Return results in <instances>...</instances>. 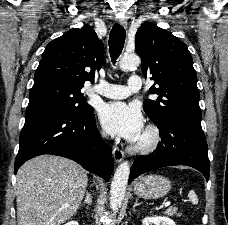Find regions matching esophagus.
<instances>
[{
    "label": "esophagus",
    "mask_w": 228,
    "mask_h": 225,
    "mask_svg": "<svg viewBox=\"0 0 228 225\" xmlns=\"http://www.w3.org/2000/svg\"><path fill=\"white\" fill-rule=\"evenodd\" d=\"M115 20L119 25H122L125 28L127 27L126 19L121 18V17H116ZM112 153H113V158H114L115 162H117V163L122 162V160L124 158V152L122 150H120V148L114 147Z\"/></svg>",
    "instance_id": "34e87169"
}]
</instances>
